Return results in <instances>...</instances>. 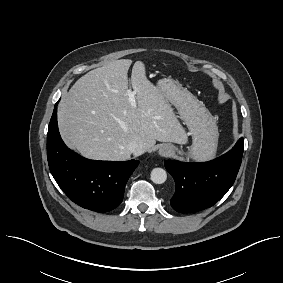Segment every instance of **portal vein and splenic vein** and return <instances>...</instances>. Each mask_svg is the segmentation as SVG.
I'll use <instances>...</instances> for the list:
<instances>
[{"label":"portal vein and splenic vein","mask_w":283,"mask_h":283,"mask_svg":"<svg viewBox=\"0 0 283 283\" xmlns=\"http://www.w3.org/2000/svg\"><path fill=\"white\" fill-rule=\"evenodd\" d=\"M135 92L131 90H127V95L129 97V102L131 106L136 107V99H135Z\"/></svg>","instance_id":"1"}]
</instances>
